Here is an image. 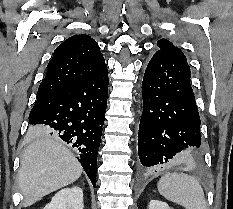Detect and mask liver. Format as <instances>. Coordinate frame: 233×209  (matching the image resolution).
I'll return each instance as SVG.
<instances>
[{
  "label": "liver",
  "mask_w": 233,
  "mask_h": 209,
  "mask_svg": "<svg viewBox=\"0 0 233 209\" xmlns=\"http://www.w3.org/2000/svg\"><path fill=\"white\" fill-rule=\"evenodd\" d=\"M29 133L37 138L21 157L19 189L24 207L72 184L83 171L73 153L59 139L45 136L44 128L30 127Z\"/></svg>",
  "instance_id": "1"
}]
</instances>
